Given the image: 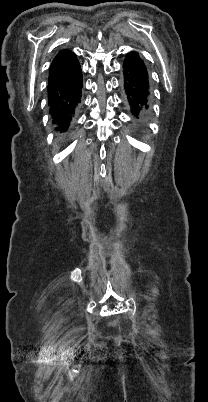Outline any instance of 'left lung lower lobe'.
Returning a JSON list of instances; mask_svg holds the SVG:
<instances>
[{
  "label": "left lung lower lobe",
  "instance_id": "0a47b994",
  "mask_svg": "<svg viewBox=\"0 0 208 402\" xmlns=\"http://www.w3.org/2000/svg\"><path fill=\"white\" fill-rule=\"evenodd\" d=\"M124 95L130 113L135 119H147L151 103V85L148 70L139 54L131 51L123 62Z\"/></svg>",
  "mask_w": 208,
  "mask_h": 402
}]
</instances>
